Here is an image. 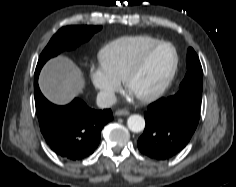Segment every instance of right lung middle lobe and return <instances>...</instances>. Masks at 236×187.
I'll use <instances>...</instances> for the list:
<instances>
[{
	"label": "right lung middle lobe",
	"instance_id": "obj_1",
	"mask_svg": "<svg viewBox=\"0 0 236 187\" xmlns=\"http://www.w3.org/2000/svg\"><path fill=\"white\" fill-rule=\"evenodd\" d=\"M101 28V26H67L61 28L42 51L35 75H39L42 66L48 59L57 56L62 51L75 49L81 43L88 41Z\"/></svg>",
	"mask_w": 236,
	"mask_h": 187
}]
</instances>
